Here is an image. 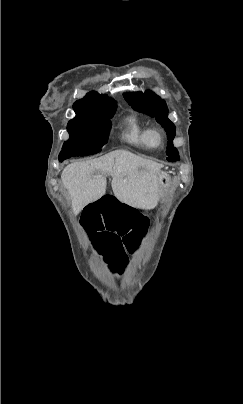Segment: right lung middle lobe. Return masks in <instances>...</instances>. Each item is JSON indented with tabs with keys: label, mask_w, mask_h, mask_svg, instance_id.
I'll list each match as a JSON object with an SVG mask.
<instances>
[{
	"label": "right lung middle lobe",
	"mask_w": 243,
	"mask_h": 404,
	"mask_svg": "<svg viewBox=\"0 0 243 404\" xmlns=\"http://www.w3.org/2000/svg\"><path fill=\"white\" fill-rule=\"evenodd\" d=\"M115 111L116 107L99 113L76 115L70 120L67 125L70 138L63 144L59 161L100 152L108 140L110 118Z\"/></svg>",
	"instance_id": "right-lung-middle-lobe-1"
}]
</instances>
